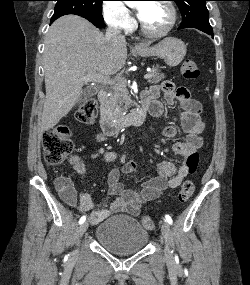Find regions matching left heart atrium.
I'll return each instance as SVG.
<instances>
[{
    "label": "left heart atrium",
    "mask_w": 250,
    "mask_h": 285,
    "mask_svg": "<svg viewBox=\"0 0 250 285\" xmlns=\"http://www.w3.org/2000/svg\"><path fill=\"white\" fill-rule=\"evenodd\" d=\"M138 16L141 18V16H142V9H140L139 8V10H138Z\"/></svg>",
    "instance_id": "left-heart-atrium-1"
}]
</instances>
